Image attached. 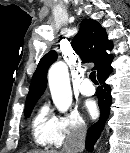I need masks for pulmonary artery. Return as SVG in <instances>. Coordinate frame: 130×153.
I'll return each mask as SVG.
<instances>
[{"label":"pulmonary artery","instance_id":"1","mask_svg":"<svg viewBox=\"0 0 130 153\" xmlns=\"http://www.w3.org/2000/svg\"><path fill=\"white\" fill-rule=\"evenodd\" d=\"M79 92L85 96H91L95 93V88L89 79H85L79 85Z\"/></svg>","mask_w":130,"mask_h":153}]
</instances>
